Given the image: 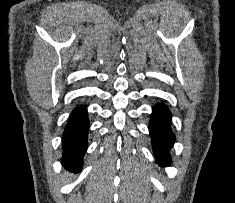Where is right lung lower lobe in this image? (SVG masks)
I'll return each instance as SVG.
<instances>
[{"label":"right lung lower lobe","instance_id":"98d812e1","mask_svg":"<svg viewBox=\"0 0 235 203\" xmlns=\"http://www.w3.org/2000/svg\"><path fill=\"white\" fill-rule=\"evenodd\" d=\"M89 120L86 107H76L68 120L63 134L62 165L70 171H81L83 156L87 149Z\"/></svg>","mask_w":235,"mask_h":203}]
</instances>
